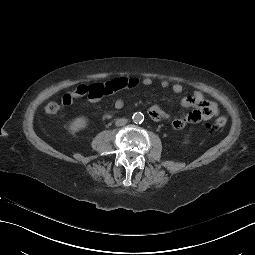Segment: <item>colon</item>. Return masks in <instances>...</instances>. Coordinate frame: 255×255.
I'll return each mask as SVG.
<instances>
[{
	"label": "colon",
	"mask_w": 255,
	"mask_h": 255,
	"mask_svg": "<svg viewBox=\"0 0 255 255\" xmlns=\"http://www.w3.org/2000/svg\"><path fill=\"white\" fill-rule=\"evenodd\" d=\"M59 109L60 105L55 101H51L46 105L45 112L48 115H54L59 111ZM226 123L227 118L225 116H219L213 122L207 124V129L211 133L220 132L225 127Z\"/></svg>",
	"instance_id": "1"
}]
</instances>
